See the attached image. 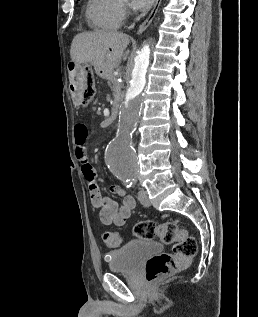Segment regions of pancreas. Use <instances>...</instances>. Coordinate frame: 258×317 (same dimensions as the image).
<instances>
[{"instance_id":"cf45deb5","label":"pancreas","mask_w":258,"mask_h":317,"mask_svg":"<svg viewBox=\"0 0 258 317\" xmlns=\"http://www.w3.org/2000/svg\"><path fill=\"white\" fill-rule=\"evenodd\" d=\"M110 85L112 89L114 90L115 93H120L121 92V84H119L118 79L116 77H111L109 79Z\"/></svg>"}]
</instances>
